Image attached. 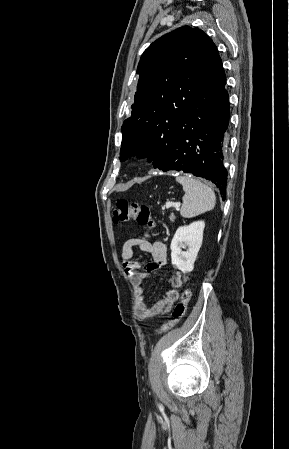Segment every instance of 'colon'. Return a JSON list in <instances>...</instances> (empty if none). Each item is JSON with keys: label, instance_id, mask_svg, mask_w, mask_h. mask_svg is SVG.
<instances>
[{"label": "colon", "instance_id": "obj_1", "mask_svg": "<svg viewBox=\"0 0 289 449\" xmlns=\"http://www.w3.org/2000/svg\"><path fill=\"white\" fill-rule=\"evenodd\" d=\"M113 220L115 223H123L134 220L141 225L155 226L156 222L151 214L148 206L129 203L125 199H119L115 204L113 212ZM190 290L185 288L181 292L180 301L175 306L171 319L157 328L154 332L157 334L165 333L175 327L184 317L190 302Z\"/></svg>", "mask_w": 289, "mask_h": 449}]
</instances>
